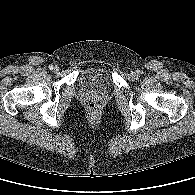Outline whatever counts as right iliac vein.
Returning a JSON list of instances; mask_svg holds the SVG:
<instances>
[{"label": "right iliac vein", "instance_id": "1", "mask_svg": "<svg viewBox=\"0 0 195 195\" xmlns=\"http://www.w3.org/2000/svg\"><path fill=\"white\" fill-rule=\"evenodd\" d=\"M58 70H59V67H58V66H55V67H54V71L57 72Z\"/></svg>", "mask_w": 195, "mask_h": 195}]
</instances>
